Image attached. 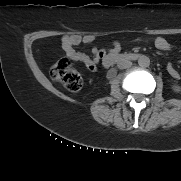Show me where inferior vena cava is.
<instances>
[{"instance_id":"inferior-vena-cava-1","label":"inferior vena cava","mask_w":181,"mask_h":181,"mask_svg":"<svg viewBox=\"0 0 181 181\" xmlns=\"http://www.w3.org/2000/svg\"><path fill=\"white\" fill-rule=\"evenodd\" d=\"M132 66L131 61H124L122 64L118 65L120 69H126Z\"/></svg>"}]
</instances>
